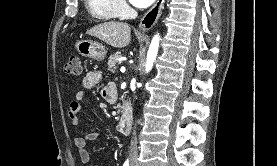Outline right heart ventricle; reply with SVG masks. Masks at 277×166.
Wrapping results in <instances>:
<instances>
[{
    "label": "right heart ventricle",
    "instance_id": "right-heart-ventricle-1",
    "mask_svg": "<svg viewBox=\"0 0 277 166\" xmlns=\"http://www.w3.org/2000/svg\"><path fill=\"white\" fill-rule=\"evenodd\" d=\"M89 15L100 22L111 21L119 17L115 0H84Z\"/></svg>",
    "mask_w": 277,
    "mask_h": 166
}]
</instances>
